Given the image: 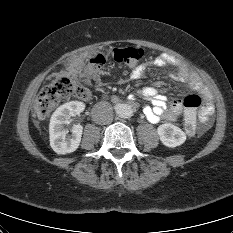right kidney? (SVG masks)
<instances>
[{"label": "right kidney", "mask_w": 233, "mask_h": 233, "mask_svg": "<svg viewBox=\"0 0 233 233\" xmlns=\"http://www.w3.org/2000/svg\"><path fill=\"white\" fill-rule=\"evenodd\" d=\"M85 105L79 101H71L60 106L52 115L50 120V145L57 154L72 153L80 145L83 126L80 124L74 125L71 130V135L65 125L69 123V119L75 113H80L84 110Z\"/></svg>", "instance_id": "obj_1"}]
</instances>
